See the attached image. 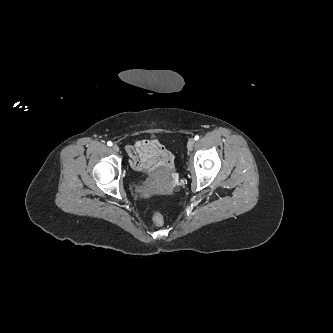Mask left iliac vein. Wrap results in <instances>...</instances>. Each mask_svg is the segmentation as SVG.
Wrapping results in <instances>:
<instances>
[{
	"label": "left iliac vein",
	"instance_id": "obj_1",
	"mask_svg": "<svg viewBox=\"0 0 333 333\" xmlns=\"http://www.w3.org/2000/svg\"><path fill=\"white\" fill-rule=\"evenodd\" d=\"M194 144H195V140L194 139H190L189 141H188V143H187V148H188V150H192L193 149V147H194Z\"/></svg>",
	"mask_w": 333,
	"mask_h": 333
}]
</instances>
